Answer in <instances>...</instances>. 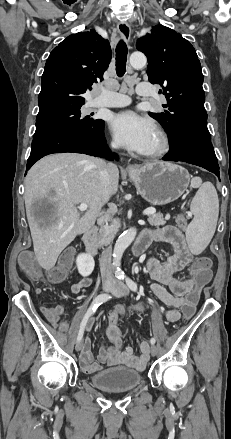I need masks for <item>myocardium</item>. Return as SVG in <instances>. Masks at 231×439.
Here are the masks:
<instances>
[{
    "label": "myocardium",
    "mask_w": 231,
    "mask_h": 439,
    "mask_svg": "<svg viewBox=\"0 0 231 439\" xmlns=\"http://www.w3.org/2000/svg\"><path fill=\"white\" fill-rule=\"evenodd\" d=\"M156 133L159 138L158 146L151 151L142 153L143 156L148 158H157L165 155L170 149V139L168 134L160 127L156 128Z\"/></svg>",
    "instance_id": "1"
}]
</instances>
